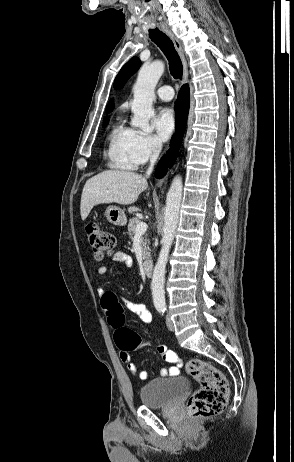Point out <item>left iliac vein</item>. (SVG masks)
<instances>
[{
	"label": "left iliac vein",
	"instance_id": "4c4485c4",
	"mask_svg": "<svg viewBox=\"0 0 294 462\" xmlns=\"http://www.w3.org/2000/svg\"><path fill=\"white\" fill-rule=\"evenodd\" d=\"M166 323H167V327L170 331H174V324L170 318V316H167L166 317Z\"/></svg>",
	"mask_w": 294,
	"mask_h": 462
}]
</instances>
